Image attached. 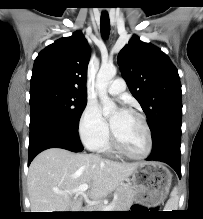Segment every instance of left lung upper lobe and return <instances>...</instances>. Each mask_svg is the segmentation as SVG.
<instances>
[{
	"label": "left lung upper lobe",
	"mask_w": 203,
	"mask_h": 219,
	"mask_svg": "<svg viewBox=\"0 0 203 219\" xmlns=\"http://www.w3.org/2000/svg\"><path fill=\"white\" fill-rule=\"evenodd\" d=\"M118 64L130 92L147 116L153 143L171 126L181 125L180 78L161 49L134 35L119 52Z\"/></svg>",
	"instance_id": "5c2ea615"
}]
</instances>
